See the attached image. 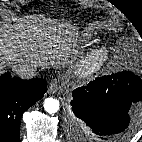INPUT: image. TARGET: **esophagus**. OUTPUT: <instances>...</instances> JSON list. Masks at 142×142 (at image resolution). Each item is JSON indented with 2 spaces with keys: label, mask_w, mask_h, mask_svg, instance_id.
Returning <instances> with one entry per match:
<instances>
[{
  "label": "esophagus",
  "mask_w": 142,
  "mask_h": 142,
  "mask_svg": "<svg viewBox=\"0 0 142 142\" xmlns=\"http://www.w3.org/2000/svg\"><path fill=\"white\" fill-rule=\"evenodd\" d=\"M58 89H59L58 81L56 79L52 80L49 84V87H48L49 93L55 94L58 91Z\"/></svg>",
  "instance_id": "esophagus-1"
}]
</instances>
